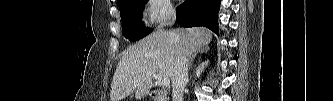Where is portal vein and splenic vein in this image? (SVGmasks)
<instances>
[{
    "label": "portal vein and splenic vein",
    "instance_id": "portal-vein-and-splenic-vein-1",
    "mask_svg": "<svg viewBox=\"0 0 333 101\" xmlns=\"http://www.w3.org/2000/svg\"><path fill=\"white\" fill-rule=\"evenodd\" d=\"M154 79L164 87H168L170 85V80L168 78H162L159 75H154Z\"/></svg>",
    "mask_w": 333,
    "mask_h": 101
}]
</instances>
